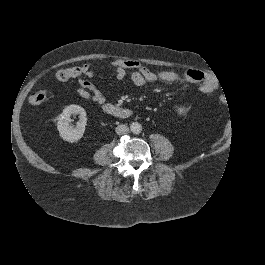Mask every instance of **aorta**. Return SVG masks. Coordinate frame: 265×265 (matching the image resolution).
Listing matches in <instances>:
<instances>
[{"label":"aorta","instance_id":"obj_1","mask_svg":"<svg viewBox=\"0 0 265 265\" xmlns=\"http://www.w3.org/2000/svg\"><path fill=\"white\" fill-rule=\"evenodd\" d=\"M130 130L134 133V134H139L142 131V125L138 122H133L130 125Z\"/></svg>","mask_w":265,"mask_h":265}]
</instances>
